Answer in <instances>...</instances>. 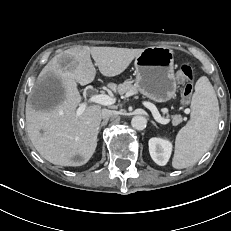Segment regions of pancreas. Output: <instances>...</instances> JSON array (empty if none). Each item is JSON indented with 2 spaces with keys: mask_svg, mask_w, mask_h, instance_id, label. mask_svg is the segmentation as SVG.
I'll list each match as a JSON object with an SVG mask.
<instances>
[{
  "mask_svg": "<svg viewBox=\"0 0 231 231\" xmlns=\"http://www.w3.org/2000/svg\"><path fill=\"white\" fill-rule=\"evenodd\" d=\"M113 89L115 90V92H117L118 94L120 95H123V94H137L138 93V90L136 88L135 85H132L131 83L129 82H124L122 84H119L117 86H113ZM181 118L180 116H174L173 117V124H178L180 122Z\"/></svg>",
  "mask_w": 231,
  "mask_h": 231,
  "instance_id": "cf45deb5",
  "label": "pancreas"
}]
</instances>
